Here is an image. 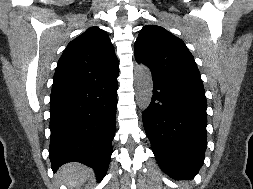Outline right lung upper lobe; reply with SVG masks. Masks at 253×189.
I'll return each mask as SVG.
<instances>
[{"instance_id": "right-lung-upper-lobe-1", "label": "right lung upper lobe", "mask_w": 253, "mask_h": 189, "mask_svg": "<svg viewBox=\"0 0 253 189\" xmlns=\"http://www.w3.org/2000/svg\"><path fill=\"white\" fill-rule=\"evenodd\" d=\"M118 65L107 33L91 27L67 45L58 61L53 86L100 82L117 75Z\"/></svg>"}]
</instances>
